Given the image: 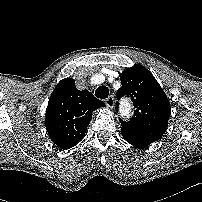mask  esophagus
Listing matches in <instances>:
<instances>
[{
  "instance_id": "1",
  "label": "esophagus",
  "mask_w": 202,
  "mask_h": 202,
  "mask_svg": "<svg viewBox=\"0 0 202 202\" xmlns=\"http://www.w3.org/2000/svg\"><path fill=\"white\" fill-rule=\"evenodd\" d=\"M105 104L107 107L109 108H113L115 105V100L113 96H109L106 100H105Z\"/></svg>"
}]
</instances>
